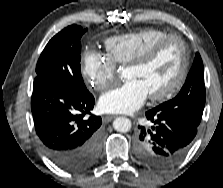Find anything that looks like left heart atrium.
Listing matches in <instances>:
<instances>
[{
    "mask_svg": "<svg viewBox=\"0 0 223 188\" xmlns=\"http://www.w3.org/2000/svg\"><path fill=\"white\" fill-rule=\"evenodd\" d=\"M147 97L148 93L140 82L128 79L104 93L99 99L98 108L104 113H132L144 104Z\"/></svg>",
    "mask_w": 223,
    "mask_h": 188,
    "instance_id": "obj_1",
    "label": "left heart atrium"
}]
</instances>
